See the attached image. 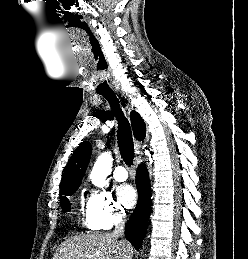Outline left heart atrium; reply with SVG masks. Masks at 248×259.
<instances>
[{
    "mask_svg": "<svg viewBox=\"0 0 248 259\" xmlns=\"http://www.w3.org/2000/svg\"><path fill=\"white\" fill-rule=\"evenodd\" d=\"M117 198L126 208H132L137 200V194L135 189L129 185L124 184L117 188L116 190Z\"/></svg>",
    "mask_w": 248,
    "mask_h": 259,
    "instance_id": "39dd6f15",
    "label": "left heart atrium"
}]
</instances>
